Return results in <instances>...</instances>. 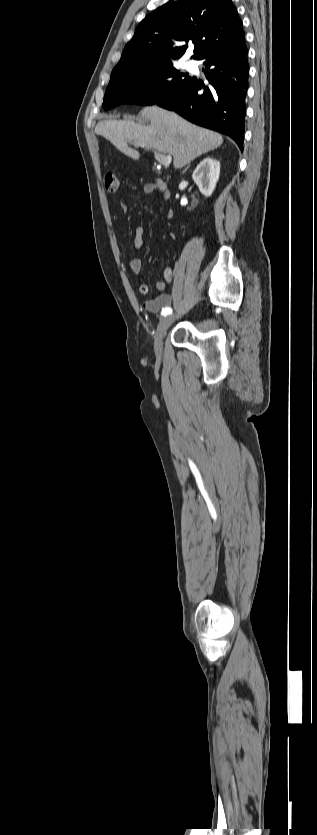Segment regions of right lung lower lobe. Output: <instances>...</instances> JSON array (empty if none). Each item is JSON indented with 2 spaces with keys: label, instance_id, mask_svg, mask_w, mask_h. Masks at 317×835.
<instances>
[{
  "label": "right lung lower lobe",
  "instance_id": "right-lung-lower-lobe-1",
  "mask_svg": "<svg viewBox=\"0 0 317 835\" xmlns=\"http://www.w3.org/2000/svg\"><path fill=\"white\" fill-rule=\"evenodd\" d=\"M248 49L245 38L204 53L199 60L210 86L190 82L155 104L187 120L230 136L243 150L245 98L248 88ZM203 94H198L199 90Z\"/></svg>",
  "mask_w": 317,
  "mask_h": 835
}]
</instances>
